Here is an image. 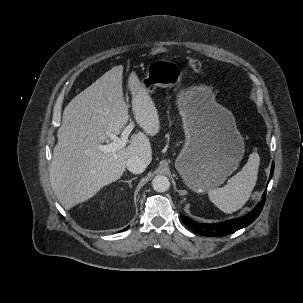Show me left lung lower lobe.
<instances>
[{
	"instance_id": "left-lung-lower-lobe-1",
	"label": "left lung lower lobe",
	"mask_w": 303,
	"mask_h": 303,
	"mask_svg": "<svg viewBox=\"0 0 303 303\" xmlns=\"http://www.w3.org/2000/svg\"><path fill=\"white\" fill-rule=\"evenodd\" d=\"M273 171H274V163H272L270 178L273 175ZM265 197H266V192L263 194V199L247 215L226 222L215 223V224H199L186 216H181V219L183 223L186 226H188L189 229H191L193 232L197 234L203 236H209V237L226 236L251 224L262 211L265 203Z\"/></svg>"
}]
</instances>
